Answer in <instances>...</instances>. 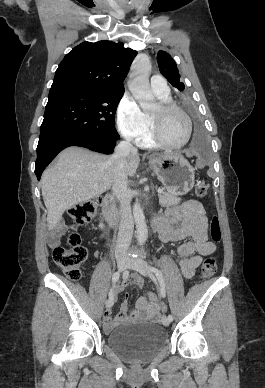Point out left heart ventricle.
I'll list each match as a JSON object with an SVG mask.
<instances>
[{
	"label": "left heart ventricle",
	"mask_w": 265,
	"mask_h": 388,
	"mask_svg": "<svg viewBox=\"0 0 265 388\" xmlns=\"http://www.w3.org/2000/svg\"><path fill=\"white\" fill-rule=\"evenodd\" d=\"M150 91H152L151 88ZM151 114L156 116L161 135L168 143L179 144L184 140V118L179 112L163 111L158 105Z\"/></svg>",
	"instance_id": "left-heart-ventricle-1"
}]
</instances>
